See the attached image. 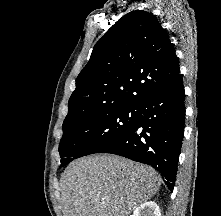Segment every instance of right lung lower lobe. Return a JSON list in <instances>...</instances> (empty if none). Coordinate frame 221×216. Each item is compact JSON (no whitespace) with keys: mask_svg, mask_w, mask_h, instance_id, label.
Returning a JSON list of instances; mask_svg holds the SVG:
<instances>
[{"mask_svg":"<svg viewBox=\"0 0 221 216\" xmlns=\"http://www.w3.org/2000/svg\"><path fill=\"white\" fill-rule=\"evenodd\" d=\"M185 91L178 73L138 106L134 125L99 153L154 167L173 191L185 122Z\"/></svg>","mask_w":221,"mask_h":216,"instance_id":"right-lung-lower-lobe-1","label":"right lung lower lobe"}]
</instances>
